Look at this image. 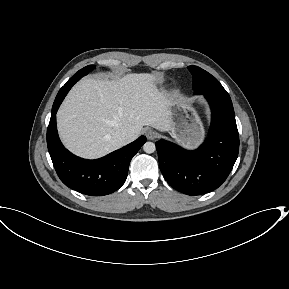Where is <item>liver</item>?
<instances>
[{
	"label": "liver",
	"instance_id": "6515ba94",
	"mask_svg": "<svg viewBox=\"0 0 289 289\" xmlns=\"http://www.w3.org/2000/svg\"><path fill=\"white\" fill-rule=\"evenodd\" d=\"M170 105L152 74H128L116 81L86 78L71 89L57 113L59 135L74 154L98 158L121 147L113 138L117 131L127 133L126 144L146 125L169 131Z\"/></svg>",
	"mask_w": 289,
	"mask_h": 289
}]
</instances>
